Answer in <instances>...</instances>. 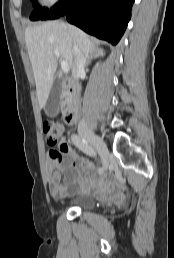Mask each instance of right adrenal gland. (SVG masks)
<instances>
[{
	"label": "right adrenal gland",
	"instance_id": "right-adrenal-gland-1",
	"mask_svg": "<svg viewBox=\"0 0 174 258\" xmlns=\"http://www.w3.org/2000/svg\"><path fill=\"white\" fill-rule=\"evenodd\" d=\"M104 55V52L102 49H95L88 57H87V62L85 64V66L87 67L91 60L94 59V58H98L100 56H103Z\"/></svg>",
	"mask_w": 174,
	"mask_h": 258
}]
</instances>
